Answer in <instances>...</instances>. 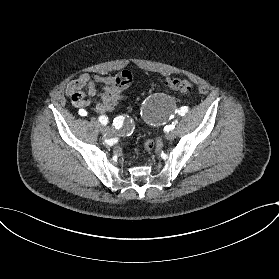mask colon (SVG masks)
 <instances>
[{"mask_svg":"<svg viewBox=\"0 0 279 279\" xmlns=\"http://www.w3.org/2000/svg\"><path fill=\"white\" fill-rule=\"evenodd\" d=\"M165 86L168 90L181 94H190L194 90L193 84L189 79L179 77L167 79L165 81ZM152 148V143L148 142L145 147V151L151 152Z\"/></svg>","mask_w":279,"mask_h":279,"instance_id":"obj_1","label":"colon"}]
</instances>
